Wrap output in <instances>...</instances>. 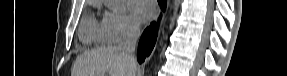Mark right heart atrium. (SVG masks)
Masks as SVG:
<instances>
[{"label":"right heart atrium","instance_id":"obj_1","mask_svg":"<svg viewBox=\"0 0 287 76\" xmlns=\"http://www.w3.org/2000/svg\"><path fill=\"white\" fill-rule=\"evenodd\" d=\"M102 27L107 41L118 43L135 36L139 32V22L124 10H107L104 12Z\"/></svg>","mask_w":287,"mask_h":76}]
</instances>
